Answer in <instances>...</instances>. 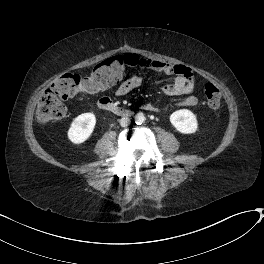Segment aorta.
Wrapping results in <instances>:
<instances>
[{
	"label": "aorta",
	"instance_id": "762f6f07",
	"mask_svg": "<svg viewBox=\"0 0 264 264\" xmlns=\"http://www.w3.org/2000/svg\"><path fill=\"white\" fill-rule=\"evenodd\" d=\"M144 120H145V117L142 113H138L135 115V123L136 124L140 125L144 122Z\"/></svg>",
	"mask_w": 264,
	"mask_h": 264
}]
</instances>
